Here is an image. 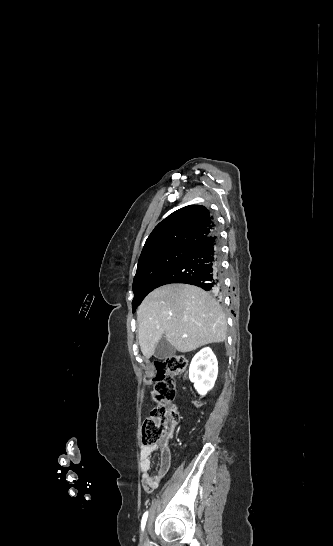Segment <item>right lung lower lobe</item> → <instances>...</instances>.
I'll list each match as a JSON object with an SVG mask.
<instances>
[{"instance_id": "obj_1", "label": "right lung lower lobe", "mask_w": 333, "mask_h": 546, "mask_svg": "<svg viewBox=\"0 0 333 546\" xmlns=\"http://www.w3.org/2000/svg\"><path fill=\"white\" fill-rule=\"evenodd\" d=\"M220 260V237L215 230L196 243L188 254L165 273L156 288L170 283H185L218 295L222 284Z\"/></svg>"}]
</instances>
